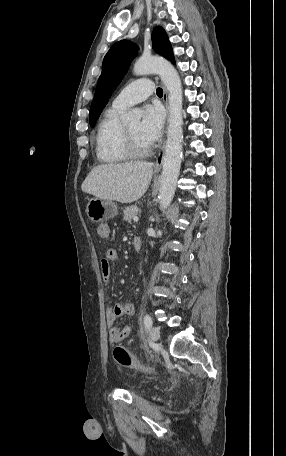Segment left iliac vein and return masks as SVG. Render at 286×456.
<instances>
[{
    "instance_id": "obj_1",
    "label": "left iliac vein",
    "mask_w": 286,
    "mask_h": 456,
    "mask_svg": "<svg viewBox=\"0 0 286 456\" xmlns=\"http://www.w3.org/2000/svg\"><path fill=\"white\" fill-rule=\"evenodd\" d=\"M150 337L154 342L158 341L160 338V330L157 327H152L150 329Z\"/></svg>"
}]
</instances>
